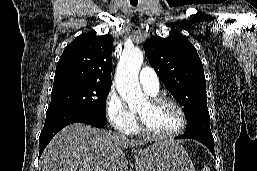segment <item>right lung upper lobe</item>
Wrapping results in <instances>:
<instances>
[{"label": "right lung upper lobe", "mask_w": 257, "mask_h": 171, "mask_svg": "<svg viewBox=\"0 0 257 171\" xmlns=\"http://www.w3.org/2000/svg\"><path fill=\"white\" fill-rule=\"evenodd\" d=\"M113 37L81 34L68 44L61 55L54 76V88L74 83L111 85Z\"/></svg>", "instance_id": "cb5924a9"}]
</instances>
